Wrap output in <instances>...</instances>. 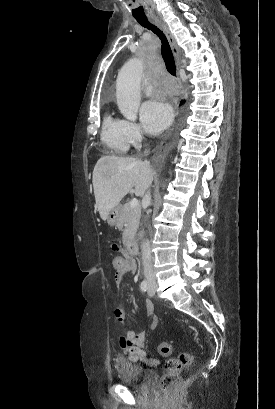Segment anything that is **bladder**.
<instances>
[{"label": "bladder", "instance_id": "31cf9c89", "mask_svg": "<svg viewBox=\"0 0 275 409\" xmlns=\"http://www.w3.org/2000/svg\"><path fill=\"white\" fill-rule=\"evenodd\" d=\"M116 380L122 384H130L135 388L150 385L155 381L157 373L151 369L143 368L130 361H122L115 367Z\"/></svg>", "mask_w": 275, "mask_h": 409}]
</instances>
